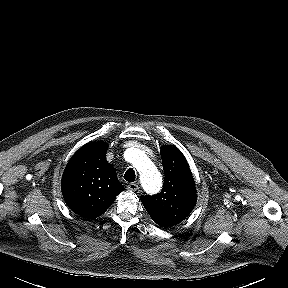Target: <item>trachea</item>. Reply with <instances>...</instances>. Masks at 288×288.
Returning a JSON list of instances; mask_svg holds the SVG:
<instances>
[{"label":"trachea","instance_id":"1","mask_svg":"<svg viewBox=\"0 0 288 288\" xmlns=\"http://www.w3.org/2000/svg\"><path fill=\"white\" fill-rule=\"evenodd\" d=\"M124 179L128 182H134L136 179L135 171L129 168L124 174Z\"/></svg>","mask_w":288,"mask_h":288}]
</instances>
